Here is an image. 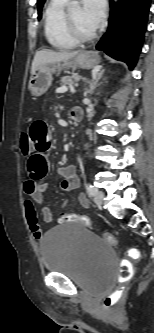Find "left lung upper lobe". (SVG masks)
<instances>
[{"label":"left lung upper lobe","instance_id":"5c2ea615","mask_svg":"<svg viewBox=\"0 0 154 333\" xmlns=\"http://www.w3.org/2000/svg\"><path fill=\"white\" fill-rule=\"evenodd\" d=\"M45 1L46 0H37L39 19L41 18V11H42V7H43Z\"/></svg>","mask_w":154,"mask_h":333}]
</instances>
